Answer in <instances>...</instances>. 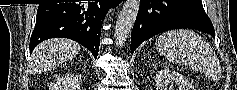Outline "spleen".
<instances>
[{"label": "spleen", "mask_w": 237, "mask_h": 90, "mask_svg": "<svg viewBox=\"0 0 237 90\" xmlns=\"http://www.w3.org/2000/svg\"><path fill=\"white\" fill-rule=\"evenodd\" d=\"M156 50L167 60L189 66L205 76L216 72L218 60L215 52L210 44H207L206 40L199 34H195L193 30L164 32L156 40Z\"/></svg>", "instance_id": "obj_1"}]
</instances>
